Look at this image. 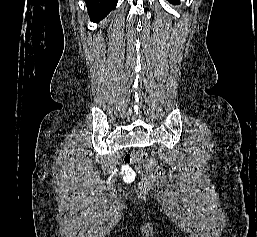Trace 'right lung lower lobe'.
<instances>
[{
    "mask_svg": "<svg viewBox=\"0 0 257 237\" xmlns=\"http://www.w3.org/2000/svg\"><path fill=\"white\" fill-rule=\"evenodd\" d=\"M90 20L93 22L104 19L115 7L118 0H84Z\"/></svg>",
    "mask_w": 257,
    "mask_h": 237,
    "instance_id": "right-lung-lower-lobe-1",
    "label": "right lung lower lobe"
}]
</instances>
